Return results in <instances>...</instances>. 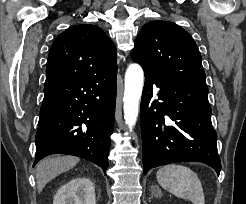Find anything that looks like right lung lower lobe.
<instances>
[{
  "label": "right lung lower lobe",
  "instance_id": "obj_1",
  "mask_svg": "<svg viewBox=\"0 0 246 204\" xmlns=\"http://www.w3.org/2000/svg\"><path fill=\"white\" fill-rule=\"evenodd\" d=\"M116 75L117 71L90 74L45 84L34 165L45 156L62 153L87 159L106 172Z\"/></svg>",
  "mask_w": 246,
  "mask_h": 204
}]
</instances>
